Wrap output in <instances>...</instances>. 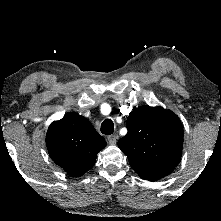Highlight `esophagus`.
<instances>
[{
  "instance_id": "obj_1",
  "label": "esophagus",
  "mask_w": 221,
  "mask_h": 221,
  "mask_svg": "<svg viewBox=\"0 0 221 221\" xmlns=\"http://www.w3.org/2000/svg\"><path fill=\"white\" fill-rule=\"evenodd\" d=\"M107 139L110 145H115L117 142V137L115 135H109Z\"/></svg>"
}]
</instances>
